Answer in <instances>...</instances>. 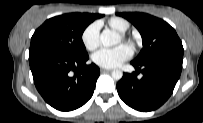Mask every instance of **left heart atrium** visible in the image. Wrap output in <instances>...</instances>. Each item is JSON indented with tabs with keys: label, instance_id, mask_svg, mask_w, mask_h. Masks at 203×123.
<instances>
[{
	"label": "left heart atrium",
	"instance_id": "obj_1",
	"mask_svg": "<svg viewBox=\"0 0 203 123\" xmlns=\"http://www.w3.org/2000/svg\"><path fill=\"white\" fill-rule=\"evenodd\" d=\"M133 54L131 47L122 44L114 48H101L92 55V61L103 68L109 69L121 65Z\"/></svg>",
	"mask_w": 203,
	"mask_h": 123
}]
</instances>
